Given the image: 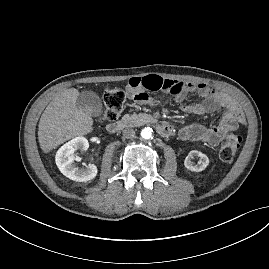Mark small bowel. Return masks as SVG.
Segmentation results:
<instances>
[{"instance_id": "obj_1", "label": "small bowel", "mask_w": 269, "mask_h": 269, "mask_svg": "<svg viewBox=\"0 0 269 269\" xmlns=\"http://www.w3.org/2000/svg\"><path fill=\"white\" fill-rule=\"evenodd\" d=\"M127 93L136 104L154 105L157 103L147 91H163L172 94L175 100L183 103L187 94L197 93L203 101L196 104H182L185 113L203 115L224 110L219 124L209 128L202 124H191L179 131L184 141L199 142L208 146H216L229 132L244 124L245 119L239 105L227 94L206 83L180 82L163 79L156 75L131 78L127 84Z\"/></svg>"}]
</instances>
